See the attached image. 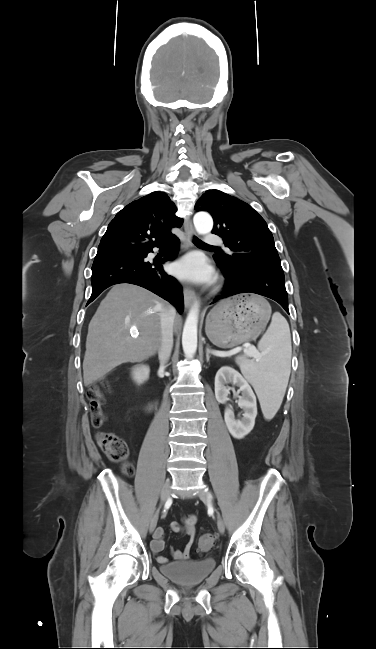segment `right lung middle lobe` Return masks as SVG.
Segmentation results:
<instances>
[{
  "instance_id": "right-lung-middle-lobe-1",
  "label": "right lung middle lobe",
  "mask_w": 376,
  "mask_h": 649,
  "mask_svg": "<svg viewBox=\"0 0 376 649\" xmlns=\"http://www.w3.org/2000/svg\"><path fill=\"white\" fill-rule=\"evenodd\" d=\"M139 253H140V252H139ZM135 254H138V253H133V252H132V253H122V254H115V255L132 256V255H135ZM107 256H113V255H100V256L97 255V256L95 257V259H100V258H104V257H107Z\"/></svg>"
}]
</instances>
